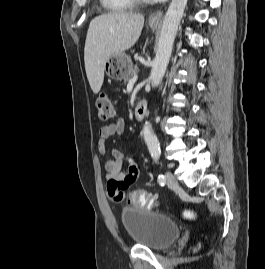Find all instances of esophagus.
Masks as SVG:
<instances>
[{
    "label": "esophagus",
    "mask_w": 265,
    "mask_h": 269,
    "mask_svg": "<svg viewBox=\"0 0 265 269\" xmlns=\"http://www.w3.org/2000/svg\"><path fill=\"white\" fill-rule=\"evenodd\" d=\"M162 17H163V13L161 11L154 12L149 16V22L159 23L162 20Z\"/></svg>",
    "instance_id": "obj_1"
}]
</instances>
